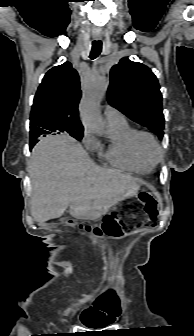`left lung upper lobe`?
Instances as JSON below:
<instances>
[{"mask_svg":"<svg viewBox=\"0 0 194 336\" xmlns=\"http://www.w3.org/2000/svg\"><path fill=\"white\" fill-rule=\"evenodd\" d=\"M108 101L130 119L162 138V95L156 76L147 66L127 58L113 66Z\"/></svg>","mask_w":194,"mask_h":336,"instance_id":"5c2ea615","label":"left lung upper lobe"}]
</instances>
